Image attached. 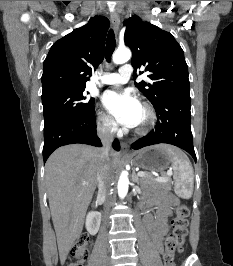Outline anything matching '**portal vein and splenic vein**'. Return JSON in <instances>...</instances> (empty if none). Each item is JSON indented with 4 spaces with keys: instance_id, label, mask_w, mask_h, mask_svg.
Returning <instances> with one entry per match:
<instances>
[{
    "instance_id": "obj_1",
    "label": "portal vein and splenic vein",
    "mask_w": 233,
    "mask_h": 266,
    "mask_svg": "<svg viewBox=\"0 0 233 266\" xmlns=\"http://www.w3.org/2000/svg\"><path fill=\"white\" fill-rule=\"evenodd\" d=\"M137 175H138L139 177H145V176H146V173L140 171V172L137 173ZM171 175H172V172H171V171H168L166 177H156V178H154V179H155L156 181H158V182H166V181H168V179L171 177ZM86 184H87L86 182L83 183V185H86Z\"/></svg>"
}]
</instances>
